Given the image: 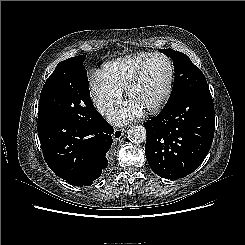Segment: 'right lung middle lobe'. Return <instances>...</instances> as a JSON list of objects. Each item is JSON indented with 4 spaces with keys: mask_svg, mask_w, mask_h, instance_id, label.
Segmentation results:
<instances>
[{
    "mask_svg": "<svg viewBox=\"0 0 245 245\" xmlns=\"http://www.w3.org/2000/svg\"><path fill=\"white\" fill-rule=\"evenodd\" d=\"M86 55L60 62L43 86L38 118L56 117L85 123L95 109L90 97Z\"/></svg>",
    "mask_w": 245,
    "mask_h": 245,
    "instance_id": "obj_1",
    "label": "right lung middle lobe"
}]
</instances>
